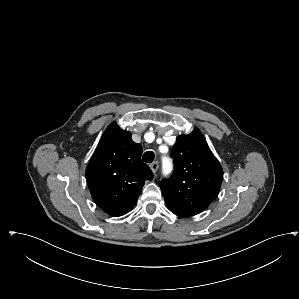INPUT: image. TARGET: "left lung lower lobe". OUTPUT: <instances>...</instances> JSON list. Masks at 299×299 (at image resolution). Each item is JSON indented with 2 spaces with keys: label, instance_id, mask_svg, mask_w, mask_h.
<instances>
[{
  "label": "left lung lower lobe",
  "instance_id": "0a47b994",
  "mask_svg": "<svg viewBox=\"0 0 299 299\" xmlns=\"http://www.w3.org/2000/svg\"><path fill=\"white\" fill-rule=\"evenodd\" d=\"M167 206H168V208L170 209L171 212H173L174 214H176L178 216H181V217H189V216H191V215H189V214H187L185 212H182V211H180L178 209L173 208L170 205H167Z\"/></svg>",
  "mask_w": 299,
  "mask_h": 299
}]
</instances>
